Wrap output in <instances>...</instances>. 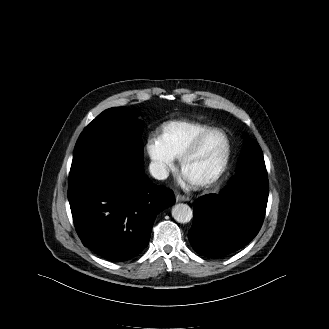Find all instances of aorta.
Segmentation results:
<instances>
[{"label":"aorta","mask_w":329,"mask_h":329,"mask_svg":"<svg viewBox=\"0 0 329 329\" xmlns=\"http://www.w3.org/2000/svg\"><path fill=\"white\" fill-rule=\"evenodd\" d=\"M172 217L179 223H188L193 217V211L187 204L179 203L173 206Z\"/></svg>","instance_id":"762f6f07"}]
</instances>
